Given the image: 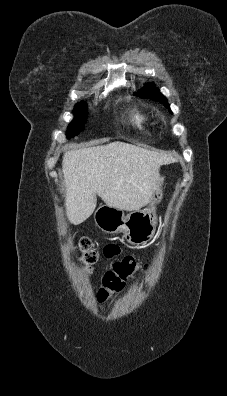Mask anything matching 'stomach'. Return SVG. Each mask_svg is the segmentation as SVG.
Here are the masks:
<instances>
[{"mask_svg": "<svg viewBox=\"0 0 227 396\" xmlns=\"http://www.w3.org/2000/svg\"><path fill=\"white\" fill-rule=\"evenodd\" d=\"M164 180L161 178L157 190L153 193L150 207L135 210L128 215L124 211L108 205L100 206L94 214L96 225L105 233L116 234L123 231L125 239L133 245L149 242L156 231L157 216L153 204L163 197Z\"/></svg>", "mask_w": 227, "mask_h": 396, "instance_id": "0dacf381", "label": "stomach"}]
</instances>
